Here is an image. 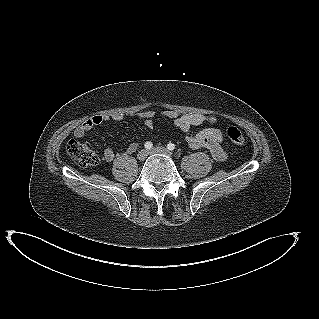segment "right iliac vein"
<instances>
[{
	"instance_id": "right-iliac-vein-1",
	"label": "right iliac vein",
	"mask_w": 319,
	"mask_h": 319,
	"mask_svg": "<svg viewBox=\"0 0 319 319\" xmlns=\"http://www.w3.org/2000/svg\"><path fill=\"white\" fill-rule=\"evenodd\" d=\"M148 156V151L146 149H142L138 152L137 158L140 161H144Z\"/></svg>"
}]
</instances>
